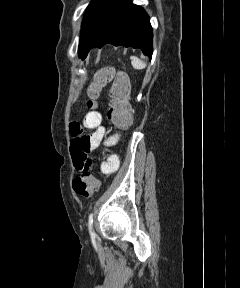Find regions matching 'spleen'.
<instances>
[{
	"instance_id": "3e777b00",
	"label": "spleen",
	"mask_w": 240,
	"mask_h": 288,
	"mask_svg": "<svg viewBox=\"0 0 240 288\" xmlns=\"http://www.w3.org/2000/svg\"><path fill=\"white\" fill-rule=\"evenodd\" d=\"M131 63H132V66L135 68V69H144L146 67V64L140 60L139 58L135 57V56H131Z\"/></svg>"
}]
</instances>
